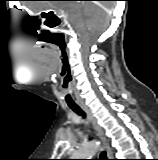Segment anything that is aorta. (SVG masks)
Masks as SVG:
<instances>
[{
  "label": "aorta",
  "mask_w": 158,
  "mask_h": 160,
  "mask_svg": "<svg viewBox=\"0 0 158 160\" xmlns=\"http://www.w3.org/2000/svg\"><path fill=\"white\" fill-rule=\"evenodd\" d=\"M98 148L96 142L81 145L72 155V159H91Z\"/></svg>",
  "instance_id": "aorta-1"
}]
</instances>
